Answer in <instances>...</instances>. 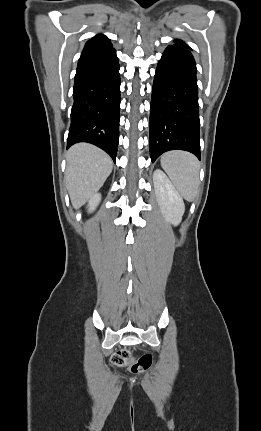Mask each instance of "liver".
Here are the masks:
<instances>
[{
    "instance_id": "liver-1",
    "label": "liver",
    "mask_w": 261,
    "mask_h": 431,
    "mask_svg": "<svg viewBox=\"0 0 261 431\" xmlns=\"http://www.w3.org/2000/svg\"><path fill=\"white\" fill-rule=\"evenodd\" d=\"M112 171L107 153L88 143L73 145L67 154L66 184L74 208L85 204Z\"/></svg>"
}]
</instances>
